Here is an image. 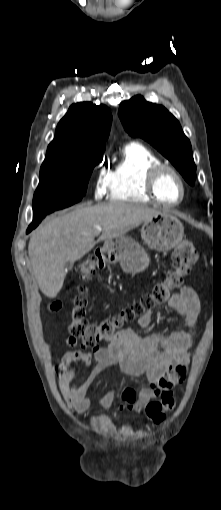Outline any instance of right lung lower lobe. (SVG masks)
<instances>
[{
  "label": "right lung lower lobe",
  "instance_id": "98d812e1",
  "mask_svg": "<svg viewBox=\"0 0 221 510\" xmlns=\"http://www.w3.org/2000/svg\"><path fill=\"white\" fill-rule=\"evenodd\" d=\"M49 213H46V214H36V213H33V221L32 223L29 225L28 229H27V233H29L31 230H33L34 228H36L38 226V224L42 221V219Z\"/></svg>",
  "mask_w": 221,
  "mask_h": 510
}]
</instances>
